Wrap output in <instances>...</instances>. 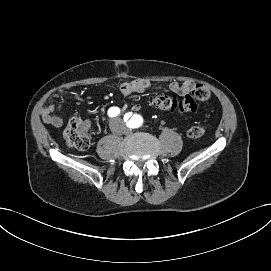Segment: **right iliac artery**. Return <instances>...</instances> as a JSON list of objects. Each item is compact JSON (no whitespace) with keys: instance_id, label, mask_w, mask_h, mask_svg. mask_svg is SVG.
I'll use <instances>...</instances> for the list:
<instances>
[{"instance_id":"right-iliac-artery-1","label":"right iliac artery","mask_w":271,"mask_h":271,"mask_svg":"<svg viewBox=\"0 0 271 271\" xmlns=\"http://www.w3.org/2000/svg\"><path fill=\"white\" fill-rule=\"evenodd\" d=\"M118 114H120V109L118 107H111L108 110V115L109 117H116ZM129 117H127L126 119H128Z\"/></svg>"}]
</instances>
